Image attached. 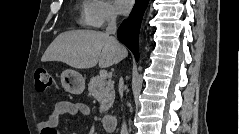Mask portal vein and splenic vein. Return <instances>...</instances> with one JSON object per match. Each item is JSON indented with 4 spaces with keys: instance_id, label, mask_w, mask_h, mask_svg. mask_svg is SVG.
Instances as JSON below:
<instances>
[{
    "instance_id": "obj_1",
    "label": "portal vein and splenic vein",
    "mask_w": 239,
    "mask_h": 134,
    "mask_svg": "<svg viewBox=\"0 0 239 134\" xmlns=\"http://www.w3.org/2000/svg\"><path fill=\"white\" fill-rule=\"evenodd\" d=\"M107 77H108V73H107L106 70L100 71V78H101L102 80H105Z\"/></svg>"
}]
</instances>
